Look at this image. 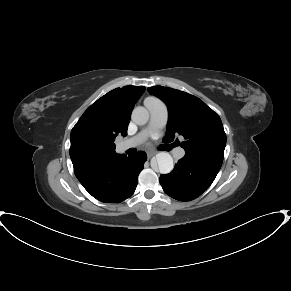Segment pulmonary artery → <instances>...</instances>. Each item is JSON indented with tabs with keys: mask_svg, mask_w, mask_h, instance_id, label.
I'll return each mask as SVG.
<instances>
[{
	"mask_svg": "<svg viewBox=\"0 0 291 291\" xmlns=\"http://www.w3.org/2000/svg\"><path fill=\"white\" fill-rule=\"evenodd\" d=\"M145 106L150 112V122L148 126L142 130L136 136L127 139L118 144L117 149L119 151H124L129 148L136 147L140 144L150 133L163 128L168 120V108L166 104L160 99H146L144 101ZM185 155V150L183 148H177L173 152V157L175 159H181Z\"/></svg>",
	"mask_w": 291,
	"mask_h": 291,
	"instance_id": "obj_1",
	"label": "pulmonary artery"
}]
</instances>
